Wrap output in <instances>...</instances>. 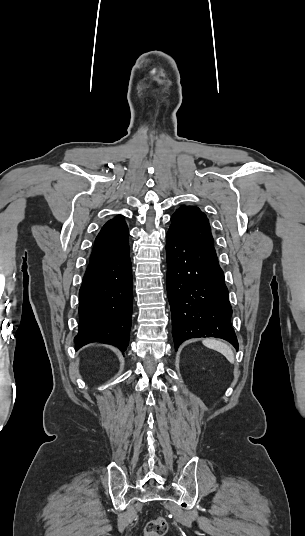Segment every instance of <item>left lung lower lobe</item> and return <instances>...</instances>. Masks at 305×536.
Segmentation results:
<instances>
[{"label":"left lung lower lobe","instance_id":"obj_1","mask_svg":"<svg viewBox=\"0 0 305 536\" xmlns=\"http://www.w3.org/2000/svg\"><path fill=\"white\" fill-rule=\"evenodd\" d=\"M167 293L175 349L190 338L218 337L238 349L232 308L214 246L167 232Z\"/></svg>","mask_w":305,"mask_h":536}]
</instances>
